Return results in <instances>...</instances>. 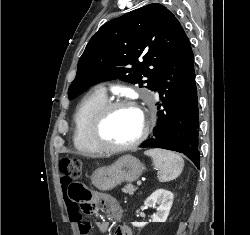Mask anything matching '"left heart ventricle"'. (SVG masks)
<instances>
[{"label":"left heart ventricle","mask_w":250,"mask_h":235,"mask_svg":"<svg viewBox=\"0 0 250 235\" xmlns=\"http://www.w3.org/2000/svg\"><path fill=\"white\" fill-rule=\"evenodd\" d=\"M143 117L140 111L133 108H118L107 118L104 128V138L116 145L132 142L140 133Z\"/></svg>","instance_id":"b2bd125f"}]
</instances>
